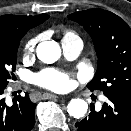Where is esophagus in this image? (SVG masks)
I'll use <instances>...</instances> for the list:
<instances>
[{"label":"esophagus","mask_w":131,"mask_h":131,"mask_svg":"<svg viewBox=\"0 0 131 131\" xmlns=\"http://www.w3.org/2000/svg\"><path fill=\"white\" fill-rule=\"evenodd\" d=\"M42 98L43 99H55V98H58V96L54 94H50V93H45L43 94Z\"/></svg>","instance_id":"esophagus-1"}]
</instances>
